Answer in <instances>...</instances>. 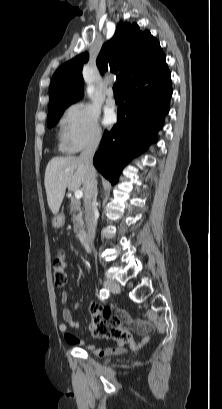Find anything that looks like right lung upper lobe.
I'll return each instance as SVG.
<instances>
[{
	"label": "right lung upper lobe",
	"mask_w": 222,
	"mask_h": 409,
	"mask_svg": "<svg viewBox=\"0 0 222 409\" xmlns=\"http://www.w3.org/2000/svg\"><path fill=\"white\" fill-rule=\"evenodd\" d=\"M88 59V53L80 54L54 73L49 88V111L82 98V68ZM96 64L101 72L110 68L118 73L121 93L135 80L168 69L159 41L148 30L140 31L137 23L123 22L118 23L114 36L101 48Z\"/></svg>",
	"instance_id": "cb5924a9"
}]
</instances>
